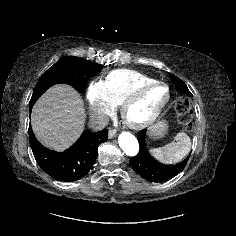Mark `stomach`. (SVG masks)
Instances as JSON below:
<instances>
[{"label":"stomach","instance_id":"obj_1","mask_svg":"<svg viewBox=\"0 0 236 236\" xmlns=\"http://www.w3.org/2000/svg\"><path fill=\"white\" fill-rule=\"evenodd\" d=\"M167 130V122L160 120L149 128V136L153 139H159L166 135Z\"/></svg>","mask_w":236,"mask_h":236}]
</instances>
